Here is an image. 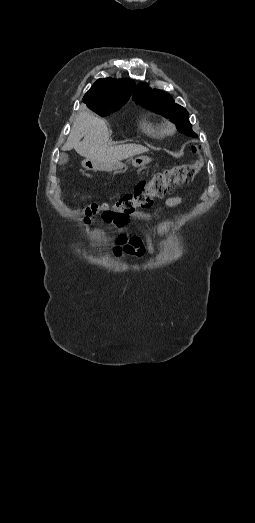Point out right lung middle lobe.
Returning a JSON list of instances; mask_svg holds the SVG:
<instances>
[{
  "instance_id": "right-lung-middle-lobe-1",
  "label": "right lung middle lobe",
  "mask_w": 255,
  "mask_h": 523,
  "mask_svg": "<svg viewBox=\"0 0 255 523\" xmlns=\"http://www.w3.org/2000/svg\"><path fill=\"white\" fill-rule=\"evenodd\" d=\"M125 103L126 102L95 104L88 106V108L104 117L109 115L111 112L119 110Z\"/></svg>"
}]
</instances>
